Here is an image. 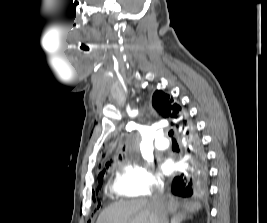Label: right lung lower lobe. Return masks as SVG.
I'll return each mask as SVG.
<instances>
[{"mask_svg":"<svg viewBox=\"0 0 267 223\" xmlns=\"http://www.w3.org/2000/svg\"><path fill=\"white\" fill-rule=\"evenodd\" d=\"M183 137L190 144L186 148L189 167L173 179L172 193L182 197H190L205 184L207 180V164L194 127L188 126L183 133Z\"/></svg>","mask_w":267,"mask_h":223,"instance_id":"right-lung-lower-lobe-1","label":"right lung lower lobe"}]
</instances>
